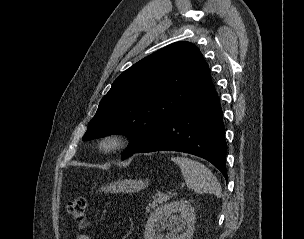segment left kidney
I'll list each match as a JSON object with an SVG mask.
<instances>
[{
	"label": "left kidney",
	"mask_w": 304,
	"mask_h": 239,
	"mask_svg": "<svg viewBox=\"0 0 304 239\" xmlns=\"http://www.w3.org/2000/svg\"><path fill=\"white\" fill-rule=\"evenodd\" d=\"M195 220V209L189 202L181 200L165 204L149 216L144 239H163V235L156 233L155 227H158L159 224L171 231L168 239H191L195 229Z\"/></svg>",
	"instance_id": "1"
}]
</instances>
